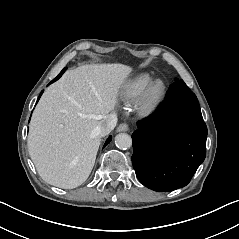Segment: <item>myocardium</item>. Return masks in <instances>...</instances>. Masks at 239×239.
Listing matches in <instances>:
<instances>
[{"instance_id":"obj_1","label":"myocardium","mask_w":239,"mask_h":239,"mask_svg":"<svg viewBox=\"0 0 239 239\" xmlns=\"http://www.w3.org/2000/svg\"><path fill=\"white\" fill-rule=\"evenodd\" d=\"M161 85L159 95L152 99V93L156 86ZM168 95V85L164 79H154L143 91L137 100L135 111L141 118H151L162 108Z\"/></svg>"}]
</instances>
